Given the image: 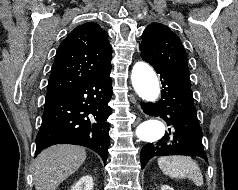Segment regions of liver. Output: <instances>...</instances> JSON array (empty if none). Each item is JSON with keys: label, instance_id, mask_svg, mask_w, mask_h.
I'll use <instances>...</instances> for the list:
<instances>
[{"label": "liver", "instance_id": "obj_1", "mask_svg": "<svg viewBox=\"0 0 238 190\" xmlns=\"http://www.w3.org/2000/svg\"><path fill=\"white\" fill-rule=\"evenodd\" d=\"M85 159L86 151L80 146L59 144L43 150L33 163L35 189L56 190Z\"/></svg>", "mask_w": 238, "mask_h": 190}]
</instances>
